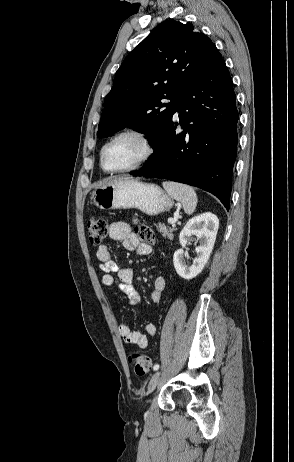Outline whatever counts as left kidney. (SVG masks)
Segmentation results:
<instances>
[{"label":"left kidney","mask_w":294,"mask_h":462,"mask_svg":"<svg viewBox=\"0 0 294 462\" xmlns=\"http://www.w3.org/2000/svg\"><path fill=\"white\" fill-rule=\"evenodd\" d=\"M218 228L219 220L210 212L194 216L186 223L179 236L182 248L173 256L174 268L180 277L190 280L203 270L213 250ZM193 236H196L197 239L194 240L199 241L200 245L196 247L197 257L192 265L188 266L183 248L193 240Z\"/></svg>","instance_id":"left-kidney-1"}]
</instances>
